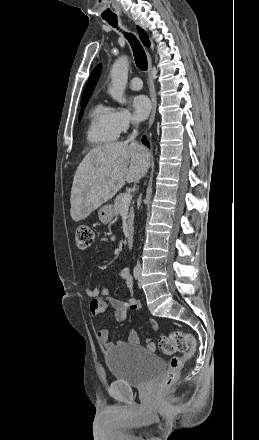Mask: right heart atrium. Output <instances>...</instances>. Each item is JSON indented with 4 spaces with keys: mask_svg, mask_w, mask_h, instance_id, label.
Here are the masks:
<instances>
[{
    "mask_svg": "<svg viewBox=\"0 0 259 440\" xmlns=\"http://www.w3.org/2000/svg\"><path fill=\"white\" fill-rule=\"evenodd\" d=\"M136 123V117L128 108L116 107L112 109V124L118 135L127 132Z\"/></svg>",
    "mask_w": 259,
    "mask_h": 440,
    "instance_id": "d8ad5b80",
    "label": "right heart atrium"
}]
</instances>
